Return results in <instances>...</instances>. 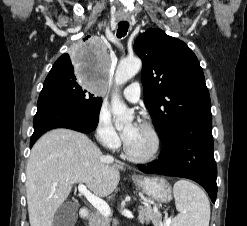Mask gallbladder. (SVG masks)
<instances>
[{
	"label": "gallbladder",
	"instance_id": "obj_1",
	"mask_svg": "<svg viewBox=\"0 0 247 226\" xmlns=\"http://www.w3.org/2000/svg\"><path fill=\"white\" fill-rule=\"evenodd\" d=\"M77 202H66L62 204L54 217L53 226H74L78 218Z\"/></svg>",
	"mask_w": 247,
	"mask_h": 226
}]
</instances>
